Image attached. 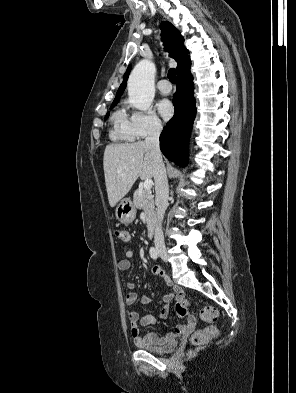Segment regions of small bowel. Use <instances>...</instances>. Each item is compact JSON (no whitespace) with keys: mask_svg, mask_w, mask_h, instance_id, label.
Segmentation results:
<instances>
[{"mask_svg":"<svg viewBox=\"0 0 296 393\" xmlns=\"http://www.w3.org/2000/svg\"><path fill=\"white\" fill-rule=\"evenodd\" d=\"M134 257V253L132 251H126L124 257L118 261L117 268L120 271H128L131 268V261ZM152 273L155 276H158L165 280L167 286L170 288V293L164 296L163 298V308L161 310L160 316L163 319H166L170 316V305L173 299H185L184 291L173 284H171L168 276L165 272L159 268L154 267ZM127 288L129 292L125 295L124 301L128 306H133L137 301V294L135 292V285L132 282L127 284ZM152 302V299L147 296H143L140 299L141 304H149ZM128 319L130 322V331L131 336L134 340V343L141 346H160L166 343H169L175 339L176 336L186 335L191 333L196 328V318L193 315L188 316L185 324H179L175 327L174 331L171 333H167L164 336H159L156 333H147L142 336L140 333V326H150L156 323V319L152 315H145L140 318L139 314L135 311H130L128 313Z\"/></svg>","mask_w":296,"mask_h":393,"instance_id":"obj_1","label":"small bowel"}]
</instances>
